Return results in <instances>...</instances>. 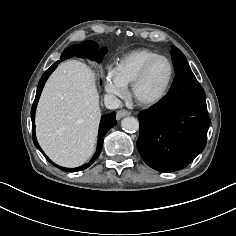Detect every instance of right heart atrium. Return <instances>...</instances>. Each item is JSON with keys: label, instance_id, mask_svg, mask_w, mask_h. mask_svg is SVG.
<instances>
[{"label": "right heart atrium", "instance_id": "obj_1", "mask_svg": "<svg viewBox=\"0 0 236 236\" xmlns=\"http://www.w3.org/2000/svg\"><path fill=\"white\" fill-rule=\"evenodd\" d=\"M104 89L111 96H123L126 92V87L115 77L112 69L105 73Z\"/></svg>", "mask_w": 236, "mask_h": 236}]
</instances>
